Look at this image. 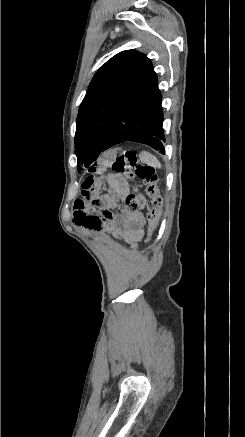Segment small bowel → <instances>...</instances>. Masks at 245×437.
<instances>
[{"instance_id": "small-bowel-1", "label": "small bowel", "mask_w": 245, "mask_h": 437, "mask_svg": "<svg viewBox=\"0 0 245 437\" xmlns=\"http://www.w3.org/2000/svg\"><path fill=\"white\" fill-rule=\"evenodd\" d=\"M115 161L112 150H103L97 166H90L83 182V195L90 202L92 207H101L103 201L94 195L100 186L96 180H100L104 171H109ZM109 186L116 195L123 198L128 193V185L123 177L112 176L109 178ZM74 222L90 231H100L103 228L109 230L117 239L125 241L133 250L137 249L138 243L144 235L145 218L137 212L121 210L114 214L109 209H105L101 214H90L89 207L85 199H77L74 204Z\"/></svg>"}]
</instances>
